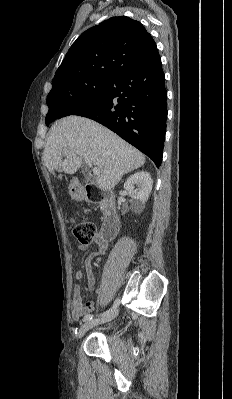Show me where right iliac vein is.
Masks as SVG:
<instances>
[{
  "instance_id": "63e3f726",
  "label": "right iliac vein",
  "mask_w": 232,
  "mask_h": 399,
  "mask_svg": "<svg viewBox=\"0 0 232 399\" xmlns=\"http://www.w3.org/2000/svg\"><path fill=\"white\" fill-rule=\"evenodd\" d=\"M120 312L121 309L117 308L112 316H102L101 318L94 319L93 322L84 323L76 333V340L80 341L82 336L85 335L88 330H92L96 325H102L105 324V322L109 323V320L116 319Z\"/></svg>"
}]
</instances>
